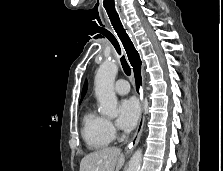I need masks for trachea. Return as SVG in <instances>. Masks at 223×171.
Masks as SVG:
<instances>
[{
  "instance_id": "obj_1",
  "label": "trachea",
  "mask_w": 223,
  "mask_h": 171,
  "mask_svg": "<svg viewBox=\"0 0 223 171\" xmlns=\"http://www.w3.org/2000/svg\"><path fill=\"white\" fill-rule=\"evenodd\" d=\"M107 38L112 43V45L114 46V48L116 49L117 53L119 55H121V48H120V45H119V42L117 41V39L114 36L107 37ZM120 61H121V65H122V68H123L125 74L130 76L131 75V68L128 65L124 55L120 58Z\"/></svg>"
}]
</instances>
